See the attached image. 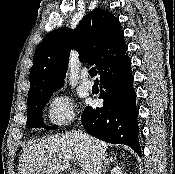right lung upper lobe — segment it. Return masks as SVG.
Instances as JSON below:
<instances>
[{
    "label": "right lung upper lobe",
    "instance_id": "1",
    "mask_svg": "<svg viewBox=\"0 0 175 174\" xmlns=\"http://www.w3.org/2000/svg\"><path fill=\"white\" fill-rule=\"evenodd\" d=\"M73 48L82 62L95 64L99 74L127 50L119 20L101 8L86 15L75 31L59 28L48 33L34 54L28 102L64 85L69 50Z\"/></svg>",
    "mask_w": 175,
    "mask_h": 174
}]
</instances>
